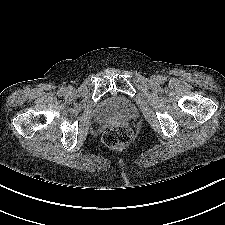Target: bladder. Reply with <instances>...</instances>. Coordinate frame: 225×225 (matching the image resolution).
I'll return each mask as SVG.
<instances>
[{"mask_svg":"<svg viewBox=\"0 0 225 225\" xmlns=\"http://www.w3.org/2000/svg\"><path fill=\"white\" fill-rule=\"evenodd\" d=\"M137 113L136 105L124 96H115L107 99L98 109L95 117L105 122L115 118H133Z\"/></svg>","mask_w":225,"mask_h":225,"instance_id":"31cf9c89","label":"bladder"}]
</instances>
